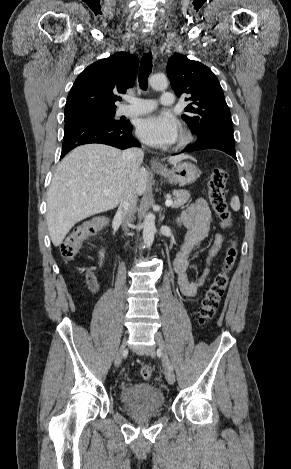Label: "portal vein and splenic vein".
<instances>
[{"label":"portal vein and splenic vein","mask_w":291,"mask_h":469,"mask_svg":"<svg viewBox=\"0 0 291 469\" xmlns=\"http://www.w3.org/2000/svg\"><path fill=\"white\" fill-rule=\"evenodd\" d=\"M102 194H103V195H109V194H110V190H104V191L102 192ZM172 204H173V200H171V199H167L166 202H165V205H166L167 207L171 206Z\"/></svg>","instance_id":"1"}]
</instances>
